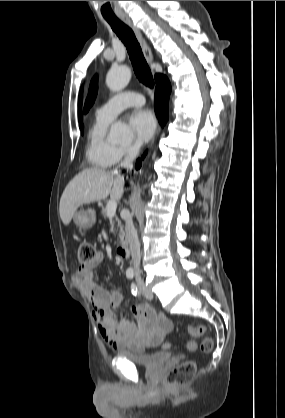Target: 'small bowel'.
I'll return each mask as SVG.
<instances>
[{
  "instance_id": "obj_1",
  "label": "small bowel",
  "mask_w": 285,
  "mask_h": 418,
  "mask_svg": "<svg viewBox=\"0 0 285 418\" xmlns=\"http://www.w3.org/2000/svg\"><path fill=\"white\" fill-rule=\"evenodd\" d=\"M103 262L104 257L99 254L95 262L81 265L74 275L91 302L101 337L116 350L124 347L145 350L159 346L172 329L171 321L148 304L133 306V317L115 313L113 309L122 305L120 294L95 281V270ZM187 348L196 351L197 343L189 341Z\"/></svg>"
}]
</instances>
